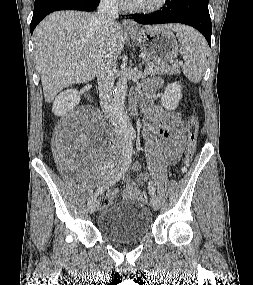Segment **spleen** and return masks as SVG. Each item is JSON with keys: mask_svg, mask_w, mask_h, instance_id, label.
Wrapping results in <instances>:
<instances>
[{"mask_svg": "<svg viewBox=\"0 0 253 285\" xmlns=\"http://www.w3.org/2000/svg\"><path fill=\"white\" fill-rule=\"evenodd\" d=\"M176 36L184 59L183 73L191 82L199 83L206 69L207 42L199 32L188 26L177 30Z\"/></svg>", "mask_w": 253, "mask_h": 285, "instance_id": "spleen-1", "label": "spleen"}]
</instances>
